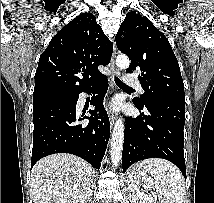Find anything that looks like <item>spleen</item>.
<instances>
[{
  "label": "spleen",
  "mask_w": 214,
  "mask_h": 203,
  "mask_svg": "<svg viewBox=\"0 0 214 203\" xmlns=\"http://www.w3.org/2000/svg\"><path fill=\"white\" fill-rule=\"evenodd\" d=\"M140 165L155 179L159 203H184V178L176 166L162 159L143 160Z\"/></svg>",
  "instance_id": "obj_1"
}]
</instances>
